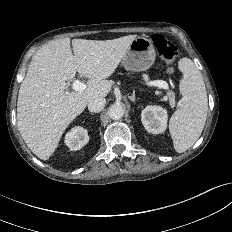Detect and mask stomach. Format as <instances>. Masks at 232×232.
I'll use <instances>...</instances> for the list:
<instances>
[{
    "mask_svg": "<svg viewBox=\"0 0 232 232\" xmlns=\"http://www.w3.org/2000/svg\"><path fill=\"white\" fill-rule=\"evenodd\" d=\"M155 56L156 53L151 40L145 37H137L125 53L122 64L128 71H145L152 66Z\"/></svg>",
    "mask_w": 232,
    "mask_h": 232,
    "instance_id": "stomach-1",
    "label": "stomach"
}]
</instances>
